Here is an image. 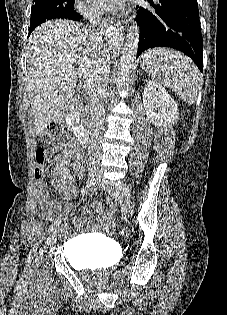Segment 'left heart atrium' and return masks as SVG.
<instances>
[{
    "mask_svg": "<svg viewBox=\"0 0 227 315\" xmlns=\"http://www.w3.org/2000/svg\"><path fill=\"white\" fill-rule=\"evenodd\" d=\"M96 5L109 13H117L124 8V0H94Z\"/></svg>",
    "mask_w": 227,
    "mask_h": 315,
    "instance_id": "39dd6f15",
    "label": "left heart atrium"
}]
</instances>
